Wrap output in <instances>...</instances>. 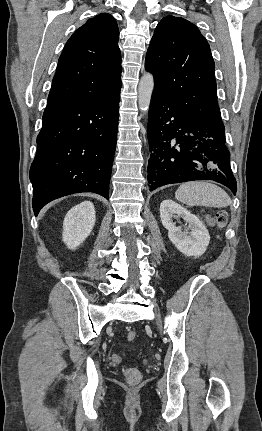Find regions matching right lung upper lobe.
I'll return each mask as SVG.
<instances>
[{
	"mask_svg": "<svg viewBox=\"0 0 262 431\" xmlns=\"http://www.w3.org/2000/svg\"><path fill=\"white\" fill-rule=\"evenodd\" d=\"M119 30L107 13L89 19L67 41L48 103L101 102L121 88Z\"/></svg>",
	"mask_w": 262,
	"mask_h": 431,
	"instance_id": "cb5924a9",
	"label": "right lung upper lobe"
}]
</instances>
